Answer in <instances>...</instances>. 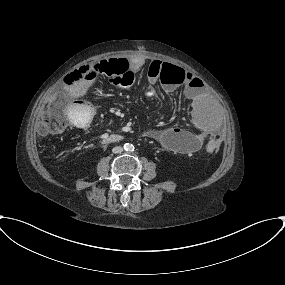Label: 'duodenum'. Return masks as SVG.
I'll use <instances>...</instances> for the list:
<instances>
[{"label": "duodenum", "mask_w": 285, "mask_h": 285, "mask_svg": "<svg viewBox=\"0 0 285 285\" xmlns=\"http://www.w3.org/2000/svg\"><path fill=\"white\" fill-rule=\"evenodd\" d=\"M119 139H120V137L117 136V135H112V136L109 137L110 141H116V140H119Z\"/></svg>", "instance_id": "1"}]
</instances>
